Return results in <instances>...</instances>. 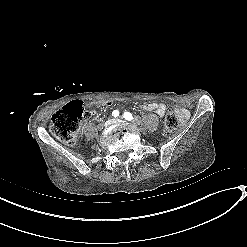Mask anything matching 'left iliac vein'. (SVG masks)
Instances as JSON below:
<instances>
[{
  "instance_id": "left-iliac-vein-1",
  "label": "left iliac vein",
  "mask_w": 247,
  "mask_h": 247,
  "mask_svg": "<svg viewBox=\"0 0 247 247\" xmlns=\"http://www.w3.org/2000/svg\"><path fill=\"white\" fill-rule=\"evenodd\" d=\"M121 122H122V120H121V119H119V118L114 119V123H121Z\"/></svg>"
}]
</instances>
